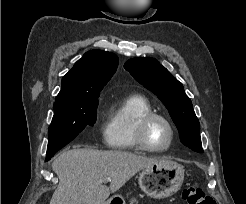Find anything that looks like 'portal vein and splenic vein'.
<instances>
[{
	"instance_id": "1",
	"label": "portal vein and splenic vein",
	"mask_w": 246,
	"mask_h": 204,
	"mask_svg": "<svg viewBox=\"0 0 246 204\" xmlns=\"http://www.w3.org/2000/svg\"><path fill=\"white\" fill-rule=\"evenodd\" d=\"M102 181H103L104 183H108V182L111 181V179L107 177V178H104Z\"/></svg>"
}]
</instances>
